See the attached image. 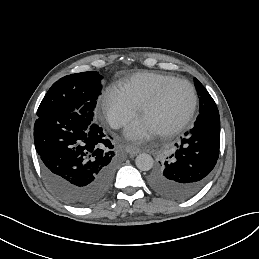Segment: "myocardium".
<instances>
[{
    "label": "myocardium",
    "instance_id": "1",
    "mask_svg": "<svg viewBox=\"0 0 259 259\" xmlns=\"http://www.w3.org/2000/svg\"><path fill=\"white\" fill-rule=\"evenodd\" d=\"M178 81L185 83L189 87L191 94H192L191 104H190L188 110L186 111V113L181 118H179L172 127H170L169 129H167L163 132L157 133L161 137H170V136L177 134L192 119V117L195 114V111L197 109V105H198V95H197V91H196L194 84L192 82H190L189 80H187L186 78L177 77V76L171 77L168 80L161 83L157 87L155 93L141 105L140 115L143 114L144 112H146L147 110H149L150 108L156 106L161 101L166 90L173 83L178 82Z\"/></svg>",
    "mask_w": 259,
    "mask_h": 259
}]
</instances>
